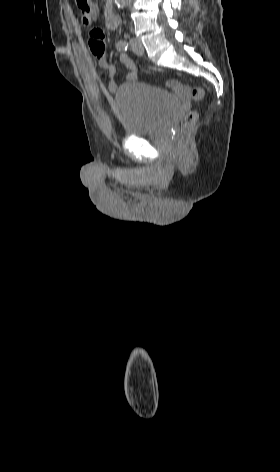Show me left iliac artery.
<instances>
[{
    "instance_id": "44dca946",
    "label": "left iliac artery",
    "mask_w": 280,
    "mask_h": 472,
    "mask_svg": "<svg viewBox=\"0 0 280 472\" xmlns=\"http://www.w3.org/2000/svg\"><path fill=\"white\" fill-rule=\"evenodd\" d=\"M116 48H117V50H119V51H126L127 48H128V43H127L125 40H119V41L116 43Z\"/></svg>"
}]
</instances>
